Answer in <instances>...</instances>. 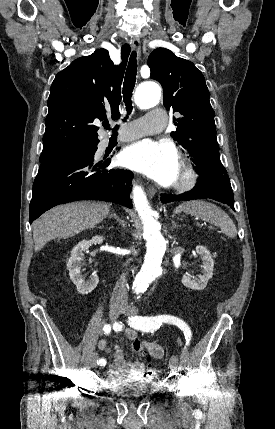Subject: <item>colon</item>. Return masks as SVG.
<instances>
[{
  "mask_svg": "<svg viewBox=\"0 0 275 429\" xmlns=\"http://www.w3.org/2000/svg\"><path fill=\"white\" fill-rule=\"evenodd\" d=\"M133 348H134V350L136 351V352H141V347H140V345L138 344V343H135L134 345H133ZM153 374H154V370H153V368L151 367V365H149V367L147 368V370L145 371V375L147 376V377H151V376H153Z\"/></svg>",
  "mask_w": 275,
  "mask_h": 429,
  "instance_id": "obj_1",
  "label": "colon"
}]
</instances>
